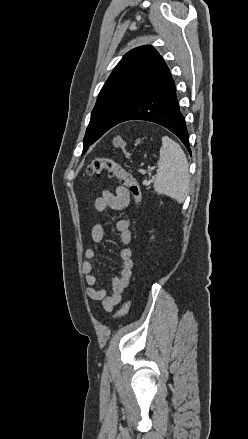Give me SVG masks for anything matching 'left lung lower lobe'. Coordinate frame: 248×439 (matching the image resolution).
<instances>
[{
    "mask_svg": "<svg viewBox=\"0 0 248 439\" xmlns=\"http://www.w3.org/2000/svg\"><path fill=\"white\" fill-rule=\"evenodd\" d=\"M129 120L154 122L167 128L191 153L186 122L180 111L175 83L168 67L119 123Z\"/></svg>",
    "mask_w": 248,
    "mask_h": 439,
    "instance_id": "obj_1",
    "label": "left lung lower lobe"
}]
</instances>
